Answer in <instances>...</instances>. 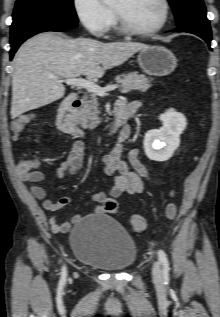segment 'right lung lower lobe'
Masks as SVG:
<instances>
[{"instance_id":"1","label":"right lung lower lobe","mask_w":220,"mask_h":317,"mask_svg":"<svg viewBox=\"0 0 220 317\" xmlns=\"http://www.w3.org/2000/svg\"><path fill=\"white\" fill-rule=\"evenodd\" d=\"M77 27V23L70 22L59 18H39L26 21L11 29L10 32V59L13 58L14 53L18 47L31 36L45 31H64Z\"/></svg>"}]
</instances>
